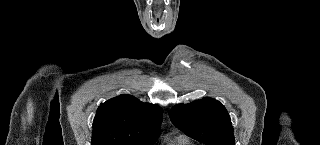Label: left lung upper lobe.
<instances>
[{
  "label": "left lung upper lobe",
  "instance_id": "obj_1",
  "mask_svg": "<svg viewBox=\"0 0 320 145\" xmlns=\"http://www.w3.org/2000/svg\"><path fill=\"white\" fill-rule=\"evenodd\" d=\"M172 123L189 137L206 145H235L233 128L225 107L203 98L176 105L169 112Z\"/></svg>",
  "mask_w": 320,
  "mask_h": 145
}]
</instances>
